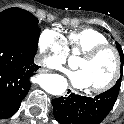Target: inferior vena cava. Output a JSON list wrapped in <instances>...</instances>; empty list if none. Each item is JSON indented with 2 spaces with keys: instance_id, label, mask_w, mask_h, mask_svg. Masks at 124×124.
Here are the masks:
<instances>
[{
  "instance_id": "1",
  "label": "inferior vena cava",
  "mask_w": 124,
  "mask_h": 124,
  "mask_svg": "<svg viewBox=\"0 0 124 124\" xmlns=\"http://www.w3.org/2000/svg\"><path fill=\"white\" fill-rule=\"evenodd\" d=\"M35 62H36L38 65H41V64H42V58H41L40 56H37Z\"/></svg>"
}]
</instances>
